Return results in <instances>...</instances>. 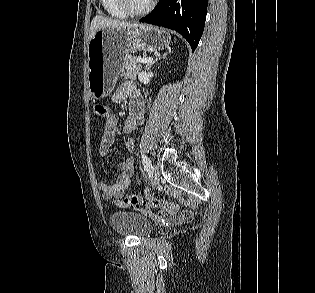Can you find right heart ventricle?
Masks as SVG:
<instances>
[{
	"label": "right heart ventricle",
	"mask_w": 315,
	"mask_h": 293,
	"mask_svg": "<svg viewBox=\"0 0 315 293\" xmlns=\"http://www.w3.org/2000/svg\"><path fill=\"white\" fill-rule=\"evenodd\" d=\"M100 2L104 12L110 17L116 19L127 18L128 14L121 10L118 6L117 0H100Z\"/></svg>",
	"instance_id": "1"
}]
</instances>
